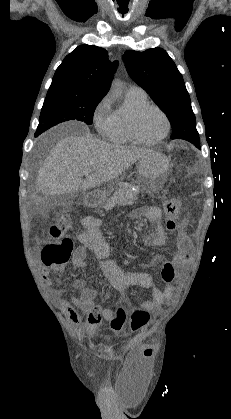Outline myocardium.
<instances>
[{
    "label": "myocardium",
    "instance_id": "1",
    "mask_svg": "<svg viewBox=\"0 0 231 419\" xmlns=\"http://www.w3.org/2000/svg\"><path fill=\"white\" fill-rule=\"evenodd\" d=\"M148 109H155L157 110L164 118L165 123H166V129L164 131V133L156 138V139H146L140 132L139 130V119L142 116V114L147 111ZM130 130L131 133L134 137V139L144 145H156L158 143H160L161 141H163L168 134L170 133L171 130V121L169 119V116L167 115V113L158 105L156 104H151V103H146L140 107H138L137 109H135L130 117Z\"/></svg>",
    "mask_w": 231,
    "mask_h": 419
}]
</instances>
